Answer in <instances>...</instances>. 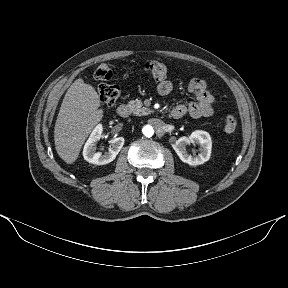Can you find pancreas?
Listing matches in <instances>:
<instances>
[{
    "mask_svg": "<svg viewBox=\"0 0 288 288\" xmlns=\"http://www.w3.org/2000/svg\"><path fill=\"white\" fill-rule=\"evenodd\" d=\"M128 106L131 109V111L138 116L148 115L152 113V110L147 107H144L142 101L138 99L131 100L128 103Z\"/></svg>",
    "mask_w": 288,
    "mask_h": 288,
    "instance_id": "cf45deb5",
    "label": "pancreas"
}]
</instances>
